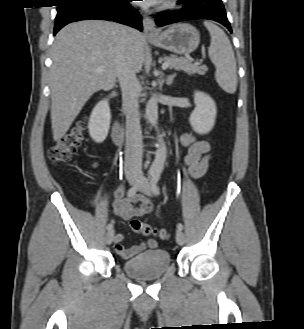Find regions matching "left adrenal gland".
Masks as SVG:
<instances>
[{
	"label": "left adrenal gland",
	"mask_w": 304,
	"mask_h": 329,
	"mask_svg": "<svg viewBox=\"0 0 304 329\" xmlns=\"http://www.w3.org/2000/svg\"><path fill=\"white\" fill-rule=\"evenodd\" d=\"M176 74H171L169 76L166 77L165 81L167 85H171L173 83V80L175 78Z\"/></svg>",
	"instance_id": "left-adrenal-gland-1"
}]
</instances>
